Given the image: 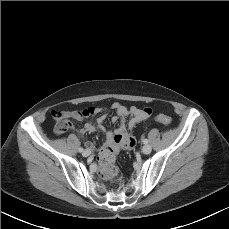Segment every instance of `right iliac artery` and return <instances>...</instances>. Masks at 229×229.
Segmentation results:
<instances>
[{
	"label": "right iliac artery",
	"instance_id": "1",
	"mask_svg": "<svg viewBox=\"0 0 229 229\" xmlns=\"http://www.w3.org/2000/svg\"><path fill=\"white\" fill-rule=\"evenodd\" d=\"M78 151H79V152H82V151H83V148H82V147H80V148L78 149Z\"/></svg>",
	"mask_w": 229,
	"mask_h": 229
}]
</instances>
